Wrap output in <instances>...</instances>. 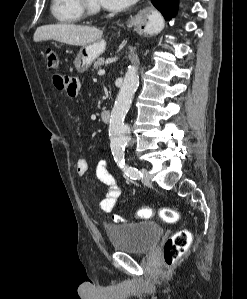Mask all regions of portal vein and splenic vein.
<instances>
[{
    "label": "portal vein and splenic vein",
    "mask_w": 247,
    "mask_h": 299,
    "mask_svg": "<svg viewBox=\"0 0 247 299\" xmlns=\"http://www.w3.org/2000/svg\"><path fill=\"white\" fill-rule=\"evenodd\" d=\"M98 74H99V75H104V74H105V70H99V71H98Z\"/></svg>",
    "instance_id": "obj_1"
}]
</instances>
